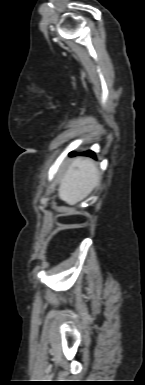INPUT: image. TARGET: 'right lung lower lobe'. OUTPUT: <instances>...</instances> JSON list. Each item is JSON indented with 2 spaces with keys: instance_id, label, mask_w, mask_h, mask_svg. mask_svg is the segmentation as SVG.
<instances>
[{
  "instance_id": "right-lung-lower-lobe-1",
  "label": "right lung lower lobe",
  "mask_w": 145,
  "mask_h": 385,
  "mask_svg": "<svg viewBox=\"0 0 145 385\" xmlns=\"http://www.w3.org/2000/svg\"><path fill=\"white\" fill-rule=\"evenodd\" d=\"M82 155H86V156L95 157V154H94V152H92V151H87V152H84V153H82Z\"/></svg>"
}]
</instances>
